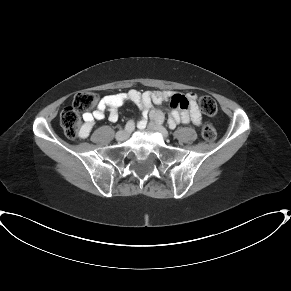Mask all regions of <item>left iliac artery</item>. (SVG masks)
<instances>
[{"label":"left iliac artery","mask_w":291,"mask_h":291,"mask_svg":"<svg viewBox=\"0 0 291 291\" xmlns=\"http://www.w3.org/2000/svg\"><path fill=\"white\" fill-rule=\"evenodd\" d=\"M163 120H164L163 115H162V114H158V115H157V121H159V122H163Z\"/></svg>","instance_id":"obj_1"}]
</instances>
